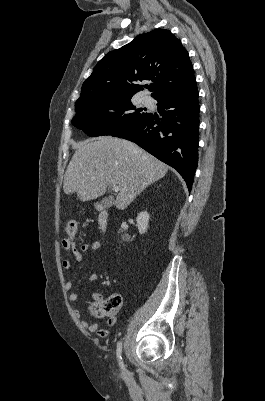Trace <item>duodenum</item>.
<instances>
[{"instance_id":"410a0bca","label":"duodenum","mask_w":265,"mask_h":401,"mask_svg":"<svg viewBox=\"0 0 265 401\" xmlns=\"http://www.w3.org/2000/svg\"><path fill=\"white\" fill-rule=\"evenodd\" d=\"M99 216H98V226L102 232H105L109 223V211L102 205L98 206Z\"/></svg>"}]
</instances>
